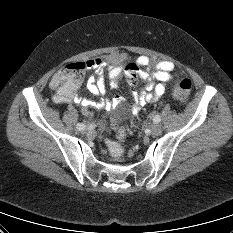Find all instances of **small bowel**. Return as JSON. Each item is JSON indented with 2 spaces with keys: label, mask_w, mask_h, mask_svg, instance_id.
<instances>
[{
  "label": "small bowel",
  "mask_w": 233,
  "mask_h": 233,
  "mask_svg": "<svg viewBox=\"0 0 233 233\" xmlns=\"http://www.w3.org/2000/svg\"><path fill=\"white\" fill-rule=\"evenodd\" d=\"M87 68L95 71L107 70L109 78L116 82L125 74L127 76L138 75L143 82V87L137 89L132 87L133 110L137 111L147 103L153 102L161 97L166 90V83L171 80L175 65L171 61L154 62L147 56H139L134 62L126 63V56L122 53L109 54L104 58H93L86 62ZM49 86L56 91L53 101L55 104H80L84 115L90 114L91 107L113 108L118 99L102 100L94 102L86 97L79 96L77 92H62L51 78ZM87 89L93 95L99 96L106 93V87L97 75L91 76L87 81Z\"/></svg>",
  "instance_id": "small-bowel-1"
}]
</instances>
